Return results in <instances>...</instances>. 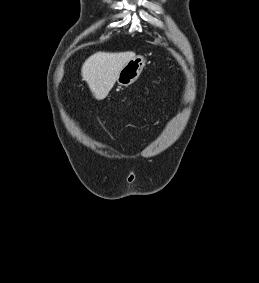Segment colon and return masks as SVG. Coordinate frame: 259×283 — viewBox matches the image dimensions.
<instances>
[{
	"label": "colon",
	"instance_id": "1",
	"mask_svg": "<svg viewBox=\"0 0 259 283\" xmlns=\"http://www.w3.org/2000/svg\"><path fill=\"white\" fill-rule=\"evenodd\" d=\"M156 85H157V86L160 85V80L156 81Z\"/></svg>",
	"mask_w": 259,
	"mask_h": 283
}]
</instances>
